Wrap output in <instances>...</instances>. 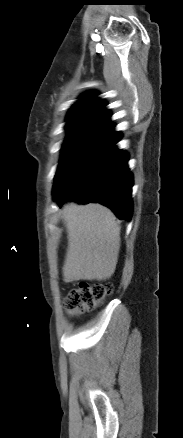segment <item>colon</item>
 Wrapping results in <instances>:
<instances>
[{
  "label": "colon",
  "mask_w": 183,
  "mask_h": 438,
  "mask_svg": "<svg viewBox=\"0 0 183 438\" xmlns=\"http://www.w3.org/2000/svg\"><path fill=\"white\" fill-rule=\"evenodd\" d=\"M111 292L112 287L109 284L81 282L70 290L66 297L67 312L76 316L91 311L100 305Z\"/></svg>",
  "instance_id": "obj_1"
}]
</instances>
